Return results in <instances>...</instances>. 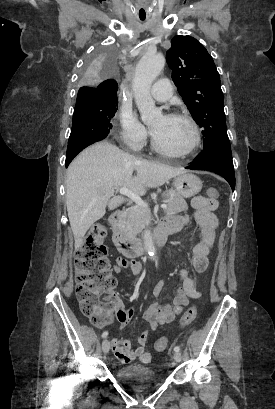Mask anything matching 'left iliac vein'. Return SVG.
Segmentation results:
<instances>
[{
  "instance_id": "obj_1",
  "label": "left iliac vein",
  "mask_w": 275,
  "mask_h": 409,
  "mask_svg": "<svg viewBox=\"0 0 275 409\" xmlns=\"http://www.w3.org/2000/svg\"><path fill=\"white\" fill-rule=\"evenodd\" d=\"M173 357H174V360L176 361V362H180L181 360H182V355H181V353L178 351V352H175L174 353V355H173Z\"/></svg>"
}]
</instances>
